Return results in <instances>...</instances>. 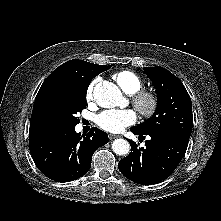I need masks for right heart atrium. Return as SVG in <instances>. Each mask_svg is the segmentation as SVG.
Wrapping results in <instances>:
<instances>
[{"label": "right heart atrium", "mask_w": 221, "mask_h": 221, "mask_svg": "<svg viewBox=\"0 0 221 221\" xmlns=\"http://www.w3.org/2000/svg\"><path fill=\"white\" fill-rule=\"evenodd\" d=\"M99 80L96 78L90 82L86 90V99L87 101H91L94 99L95 88L98 84Z\"/></svg>", "instance_id": "d8ad5b80"}]
</instances>
